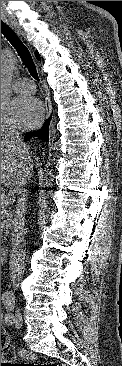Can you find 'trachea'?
<instances>
[{
  "label": "trachea",
  "mask_w": 122,
  "mask_h": 366,
  "mask_svg": "<svg viewBox=\"0 0 122 366\" xmlns=\"http://www.w3.org/2000/svg\"><path fill=\"white\" fill-rule=\"evenodd\" d=\"M1 33L15 48L18 55L20 56L23 64L28 68L30 75L35 80H40L36 66L32 60L31 54L26 45L21 41L17 34L1 20Z\"/></svg>",
  "instance_id": "obj_1"
}]
</instances>
